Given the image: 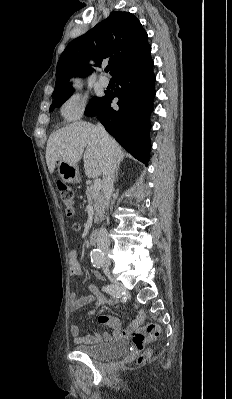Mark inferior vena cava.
<instances>
[{
  "label": "inferior vena cava",
  "mask_w": 232,
  "mask_h": 399,
  "mask_svg": "<svg viewBox=\"0 0 232 399\" xmlns=\"http://www.w3.org/2000/svg\"><path fill=\"white\" fill-rule=\"evenodd\" d=\"M97 128L101 134L102 140H104L105 144H108L109 146L111 142L109 134L105 132V128H103L102 124H98ZM116 168L117 160H115L114 158L113 150H110V154L107 158L106 168L103 172V192L107 203L111 198V194H113V178L116 172ZM105 239L106 235H102V233H99L97 237V248L101 249L103 252H109L111 250V241H105ZM104 260L106 263L110 262L108 256H105Z\"/></svg>",
  "instance_id": "obj_1"
}]
</instances>
